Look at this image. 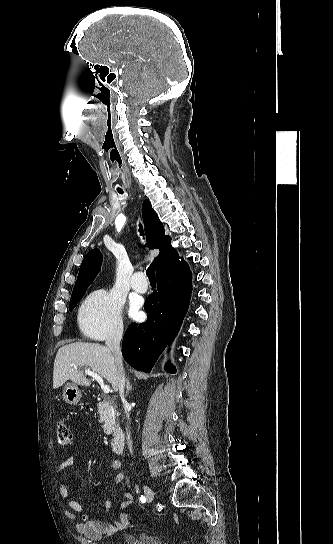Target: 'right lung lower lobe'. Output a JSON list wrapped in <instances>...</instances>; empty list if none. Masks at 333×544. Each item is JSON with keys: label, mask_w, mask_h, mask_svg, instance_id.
<instances>
[{"label": "right lung lower lobe", "mask_w": 333, "mask_h": 544, "mask_svg": "<svg viewBox=\"0 0 333 544\" xmlns=\"http://www.w3.org/2000/svg\"><path fill=\"white\" fill-rule=\"evenodd\" d=\"M157 290L146 300L147 320L132 324L122 342V355L139 371L149 373L167 344L177 335L188 310L192 273L186 262L156 275ZM165 371L176 373L170 363Z\"/></svg>", "instance_id": "obj_1"}]
</instances>
